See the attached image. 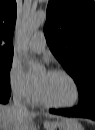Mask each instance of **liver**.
I'll list each match as a JSON object with an SVG mask.
<instances>
[{
	"instance_id": "liver-1",
	"label": "liver",
	"mask_w": 95,
	"mask_h": 130,
	"mask_svg": "<svg viewBox=\"0 0 95 130\" xmlns=\"http://www.w3.org/2000/svg\"><path fill=\"white\" fill-rule=\"evenodd\" d=\"M36 112H19L11 104L0 106V130H36L34 119ZM48 118H59L49 113L43 114Z\"/></svg>"
}]
</instances>
